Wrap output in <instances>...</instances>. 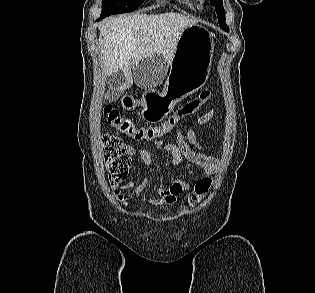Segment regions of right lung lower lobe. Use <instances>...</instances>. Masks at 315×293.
<instances>
[{"label": "right lung lower lobe", "mask_w": 315, "mask_h": 293, "mask_svg": "<svg viewBox=\"0 0 315 293\" xmlns=\"http://www.w3.org/2000/svg\"><path fill=\"white\" fill-rule=\"evenodd\" d=\"M106 16H101V18H99L98 20L102 19V18H105Z\"/></svg>", "instance_id": "right-lung-lower-lobe-1"}]
</instances>
